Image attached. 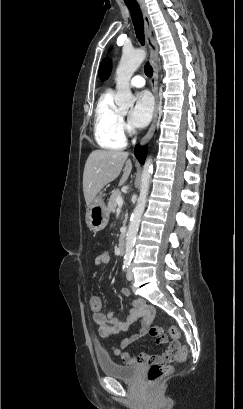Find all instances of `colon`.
Wrapping results in <instances>:
<instances>
[{
	"label": "colon",
	"instance_id": "obj_1",
	"mask_svg": "<svg viewBox=\"0 0 243 409\" xmlns=\"http://www.w3.org/2000/svg\"><path fill=\"white\" fill-rule=\"evenodd\" d=\"M90 308L92 312H100L101 310V300L97 297H94L90 300ZM150 333L152 337L156 338L158 341H161L164 339V331L162 328L153 326L150 329ZM168 333L169 336L172 339H179L180 335L176 327H169L168 328ZM187 348L184 345H180L178 348V354H177V360L178 361H184L187 357ZM172 372V366L170 364H159V363H153L149 371L147 373V380L151 384H155L159 382L161 379L167 377L170 373Z\"/></svg>",
	"mask_w": 243,
	"mask_h": 409
}]
</instances>
